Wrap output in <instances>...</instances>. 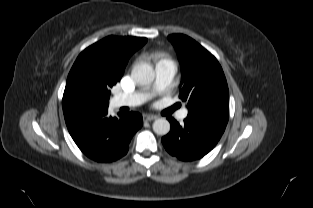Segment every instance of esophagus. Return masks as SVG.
<instances>
[{"mask_svg":"<svg viewBox=\"0 0 313 208\" xmlns=\"http://www.w3.org/2000/svg\"><path fill=\"white\" fill-rule=\"evenodd\" d=\"M158 117L156 115H150V114H146L144 115V120L145 121H153L155 119H157Z\"/></svg>","mask_w":313,"mask_h":208,"instance_id":"obj_1","label":"esophagus"}]
</instances>
